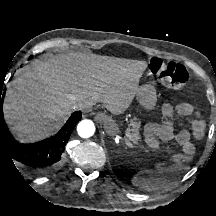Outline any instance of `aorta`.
Segmentation results:
<instances>
[{"mask_svg": "<svg viewBox=\"0 0 216 216\" xmlns=\"http://www.w3.org/2000/svg\"><path fill=\"white\" fill-rule=\"evenodd\" d=\"M106 126L113 125L115 126V123L110 118H105ZM109 128V127H108ZM77 132L78 135L82 138H89L91 137L95 132V125L91 120H83L79 122L77 126Z\"/></svg>", "mask_w": 216, "mask_h": 216, "instance_id": "aorta-1", "label": "aorta"}]
</instances>
